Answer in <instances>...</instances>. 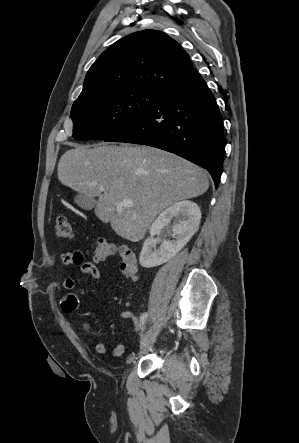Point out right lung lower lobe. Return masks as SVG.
I'll return each mask as SVG.
<instances>
[{"instance_id": "right-lung-lower-lobe-1", "label": "right lung lower lobe", "mask_w": 299, "mask_h": 443, "mask_svg": "<svg viewBox=\"0 0 299 443\" xmlns=\"http://www.w3.org/2000/svg\"><path fill=\"white\" fill-rule=\"evenodd\" d=\"M104 141L175 153L206 168L218 187L224 158L223 118L198 73L164 89L144 115Z\"/></svg>"}]
</instances>
